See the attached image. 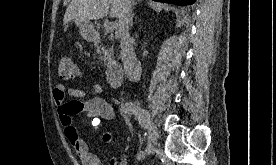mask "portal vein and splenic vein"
Here are the masks:
<instances>
[{"label":"portal vein and splenic vein","instance_id":"portal-vein-and-splenic-vein-1","mask_svg":"<svg viewBox=\"0 0 276 165\" xmlns=\"http://www.w3.org/2000/svg\"><path fill=\"white\" fill-rule=\"evenodd\" d=\"M116 27H117L116 23L108 22L104 24V28L107 33L113 32Z\"/></svg>","mask_w":276,"mask_h":165}]
</instances>
